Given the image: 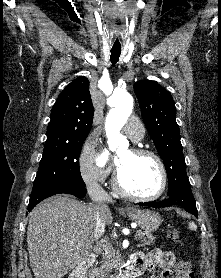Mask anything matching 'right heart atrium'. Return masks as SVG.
<instances>
[{"mask_svg":"<svg viewBox=\"0 0 221 278\" xmlns=\"http://www.w3.org/2000/svg\"><path fill=\"white\" fill-rule=\"evenodd\" d=\"M79 173L87 184L102 182L110 173V168L96 152L95 142L89 138L83 145L79 156Z\"/></svg>","mask_w":221,"mask_h":278,"instance_id":"right-heart-atrium-1","label":"right heart atrium"}]
</instances>
